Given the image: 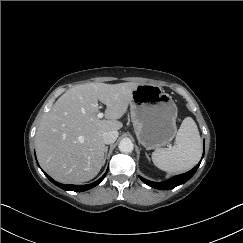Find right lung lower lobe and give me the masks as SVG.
<instances>
[{"label":"right lung lower lobe","mask_w":243,"mask_h":243,"mask_svg":"<svg viewBox=\"0 0 243 243\" xmlns=\"http://www.w3.org/2000/svg\"><path fill=\"white\" fill-rule=\"evenodd\" d=\"M47 178L53 183L55 184L56 186L64 189V190H71V191H78V192H83V191H86V190H89L95 186H97L103 179L104 177L106 176L107 174V171L106 173L100 178L98 179L97 181L91 183V184H88V185H65V184H61V183H58L56 182L55 180H53L50 176H48L46 173H44Z\"/></svg>","instance_id":"1"}]
</instances>
